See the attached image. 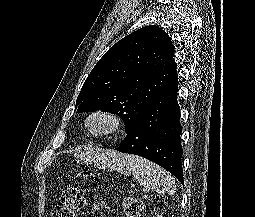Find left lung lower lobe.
<instances>
[{
  "label": "left lung lower lobe",
  "instance_id": "1",
  "mask_svg": "<svg viewBox=\"0 0 255 217\" xmlns=\"http://www.w3.org/2000/svg\"><path fill=\"white\" fill-rule=\"evenodd\" d=\"M177 91L176 76L147 106L116 150L147 158L184 184L180 141L182 126Z\"/></svg>",
  "mask_w": 255,
  "mask_h": 217
}]
</instances>
